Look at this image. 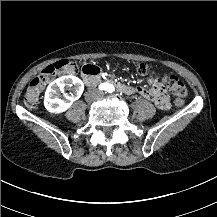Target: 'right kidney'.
Instances as JSON below:
<instances>
[{
	"mask_svg": "<svg viewBox=\"0 0 217 217\" xmlns=\"http://www.w3.org/2000/svg\"><path fill=\"white\" fill-rule=\"evenodd\" d=\"M65 86L75 88V96L72 100L59 97V90H63ZM83 91L84 84L80 78L73 75L60 77L48 85L44 97V107L49 113L62 114L72 106V103L82 95Z\"/></svg>",
	"mask_w": 217,
	"mask_h": 217,
	"instance_id": "ca27d5eb",
	"label": "right kidney"
}]
</instances>
